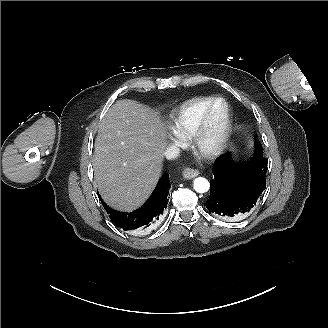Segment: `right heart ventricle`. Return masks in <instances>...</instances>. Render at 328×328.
Wrapping results in <instances>:
<instances>
[{"label": "right heart ventricle", "mask_w": 328, "mask_h": 328, "mask_svg": "<svg viewBox=\"0 0 328 328\" xmlns=\"http://www.w3.org/2000/svg\"><path fill=\"white\" fill-rule=\"evenodd\" d=\"M214 98V96H199L176 105L174 121L169 130L176 136L180 144L187 141L195 116Z\"/></svg>", "instance_id": "e07e8e85"}]
</instances>
